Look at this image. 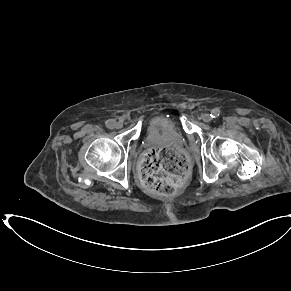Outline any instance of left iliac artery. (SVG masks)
Wrapping results in <instances>:
<instances>
[{
  "instance_id": "1",
  "label": "left iliac artery",
  "mask_w": 291,
  "mask_h": 291,
  "mask_svg": "<svg viewBox=\"0 0 291 291\" xmlns=\"http://www.w3.org/2000/svg\"><path fill=\"white\" fill-rule=\"evenodd\" d=\"M210 115H211L212 118H217L220 115V110L219 109H213Z\"/></svg>"
}]
</instances>
